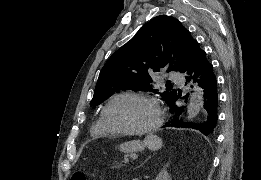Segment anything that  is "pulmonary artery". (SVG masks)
I'll use <instances>...</instances> for the list:
<instances>
[{
    "instance_id": "pulmonary-artery-1",
    "label": "pulmonary artery",
    "mask_w": 261,
    "mask_h": 180,
    "mask_svg": "<svg viewBox=\"0 0 261 180\" xmlns=\"http://www.w3.org/2000/svg\"><path fill=\"white\" fill-rule=\"evenodd\" d=\"M168 76L169 77H182L183 73L182 72H169ZM171 82L172 83H185L186 79L185 78H172Z\"/></svg>"
}]
</instances>
